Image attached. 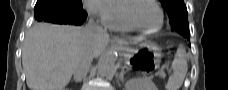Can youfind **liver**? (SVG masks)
<instances>
[{
  "instance_id": "1",
  "label": "liver",
  "mask_w": 228,
  "mask_h": 90,
  "mask_svg": "<svg viewBox=\"0 0 228 90\" xmlns=\"http://www.w3.org/2000/svg\"><path fill=\"white\" fill-rule=\"evenodd\" d=\"M144 37L129 38L137 44ZM108 34L92 41V55L97 58L105 50ZM87 47L84 27L35 24L26 34L22 49V65L30 90H63Z\"/></svg>"
}]
</instances>
